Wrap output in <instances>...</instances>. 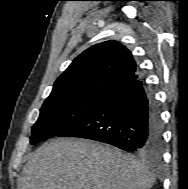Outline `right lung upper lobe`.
Segmentation results:
<instances>
[{"mask_svg": "<svg viewBox=\"0 0 188 189\" xmlns=\"http://www.w3.org/2000/svg\"><path fill=\"white\" fill-rule=\"evenodd\" d=\"M139 79L131 52L117 41L96 44L76 57L50 95L101 89L109 92Z\"/></svg>", "mask_w": 188, "mask_h": 189, "instance_id": "cb5924a9", "label": "right lung upper lobe"}]
</instances>
